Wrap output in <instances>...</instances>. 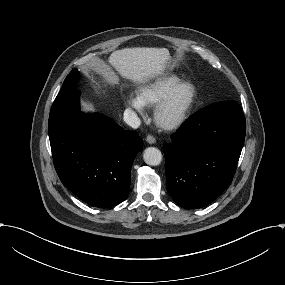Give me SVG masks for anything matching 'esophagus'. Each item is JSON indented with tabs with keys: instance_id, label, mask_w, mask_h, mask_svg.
<instances>
[{
	"instance_id": "1",
	"label": "esophagus",
	"mask_w": 285,
	"mask_h": 285,
	"mask_svg": "<svg viewBox=\"0 0 285 285\" xmlns=\"http://www.w3.org/2000/svg\"><path fill=\"white\" fill-rule=\"evenodd\" d=\"M146 141L149 143V144H154L156 142V139L153 135H148L146 137Z\"/></svg>"
}]
</instances>
